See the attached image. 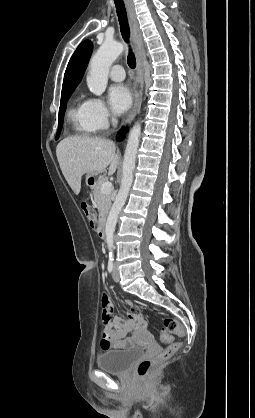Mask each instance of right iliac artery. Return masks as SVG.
Here are the masks:
<instances>
[{"label":"right iliac artery","mask_w":255,"mask_h":418,"mask_svg":"<svg viewBox=\"0 0 255 418\" xmlns=\"http://www.w3.org/2000/svg\"><path fill=\"white\" fill-rule=\"evenodd\" d=\"M108 272L111 273L113 271L114 268V258L112 256L109 257V261H108Z\"/></svg>","instance_id":"right-iliac-artery-1"}]
</instances>
